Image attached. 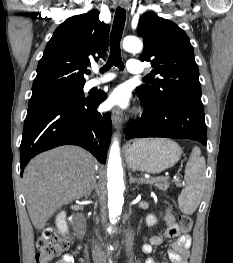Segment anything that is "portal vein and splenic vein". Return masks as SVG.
I'll list each match as a JSON object with an SVG mask.
<instances>
[{
    "label": "portal vein and splenic vein",
    "instance_id": "portal-vein-and-splenic-vein-1",
    "mask_svg": "<svg viewBox=\"0 0 233 263\" xmlns=\"http://www.w3.org/2000/svg\"><path fill=\"white\" fill-rule=\"evenodd\" d=\"M150 179H152V180H165L166 178L165 177H155V178H142V180H150Z\"/></svg>",
    "mask_w": 233,
    "mask_h": 263
}]
</instances>
